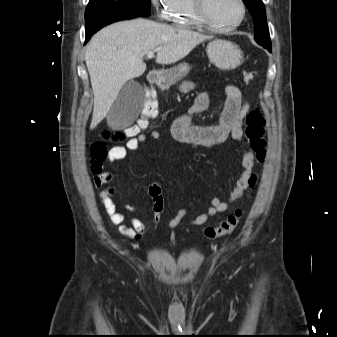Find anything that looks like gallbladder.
I'll use <instances>...</instances> for the list:
<instances>
[{
  "instance_id": "1",
  "label": "gallbladder",
  "mask_w": 337,
  "mask_h": 337,
  "mask_svg": "<svg viewBox=\"0 0 337 337\" xmlns=\"http://www.w3.org/2000/svg\"><path fill=\"white\" fill-rule=\"evenodd\" d=\"M143 103L144 93L140 84L133 80L126 83L107 115L109 126L122 129L131 125L143 108Z\"/></svg>"
}]
</instances>
